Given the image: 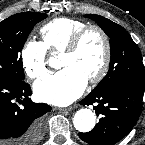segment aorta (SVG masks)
Wrapping results in <instances>:
<instances>
[{
    "label": "aorta",
    "instance_id": "1",
    "mask_svg": "<svg viewBox=\"0 0 145 145\" xmlns=\"http://www.w3.org/2000/svg\"><path fill=\"white\" fill-rule=\"evenodd\" d=\"M48 64L54 68H59L60 66L59 61L54 58H50ZM73 124L76 130L80 132H89L96 124L95 113L87 108L80 109L74 115Z\"/></svg>",
    "mask_w": 145,
    "mask_h": 145
}]
</instances>
